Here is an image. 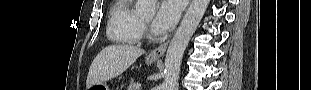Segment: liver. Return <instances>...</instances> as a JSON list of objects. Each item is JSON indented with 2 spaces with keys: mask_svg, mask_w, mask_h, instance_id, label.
<instances>
[{
  "mask_svg": "<svg viewBox=\"0 0 311 90\" xmlns=\"http://www.w3.org/2000/svg\"><path fill=\"white\" fill-rule=\"evenodd\" d=\"M144 52L143 49L132 45H111L104 48L90 66L86 81L87 89L119 76Z\"/></svg>",
  "mask_w": 311,
  "mask_h": 90,
  "instance_id": "6515ba94",
  "label": "liver"
}]
</instances>
